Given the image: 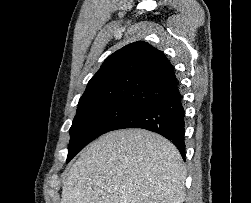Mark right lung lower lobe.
<instances>
[{
	"label": "right lung lower lobe",
	"instance_id": "98d812e1",
	"mask_svg": "<svg viewBox=\"0 0 251 203\" xmlns=\"http://www.w3.org/2000/svg\"><path fill=\"white\" fill-rule=\"evenodd\" d=\"M142 128L158 133L170 140L185 159V111L182 96L177 90L120 122L114 130Z\"/></svg>",
	"mask_w": 251,
	"mask_h": 203
}]
</instances>
